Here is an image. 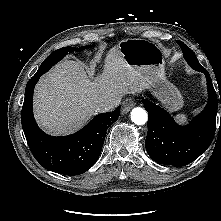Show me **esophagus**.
<instances>
[{"mask_svg":"<svg viewBox=\"0 0 221 221\" xmlns=\"http://www.w3.org/2000/svg\"><path fill=\"white\" fill-rule=\"evenodd\" d=\"M135 105V102L132 99H126L122 103V113H128Z\"/></svg>","mask_w":221,"mask_h":221,"instance_id":"obj_1","label":"esophagus"}]
</instances>
